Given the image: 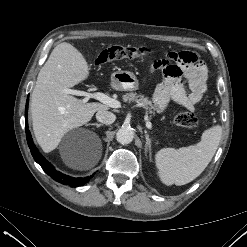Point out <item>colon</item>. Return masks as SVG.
I'll return each mask as SVG.
<instances>
[{
    "label": "colon",
    "mask_w": 247,
    "mask_h": 247,
    "mask_svg": "<svg viewBox=\"0 0 247 247\" xmlns=\"http://www.w3.org/2000/svg\"><path fill=\"white\" fill-rule=\"evenodd\" d=\"M150 53L149 49L144 47H132V46H111L104 49L98 56V63L104 64L109 61L119 60L124 58H139L145 57ZM173 121L176 125L185 127L188 129H194L198 126L199 120L195 113L191 111H181L177 113Z\"/></svg>",
    "instance_id": "colon-1"
}]
</instances>
